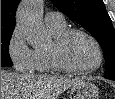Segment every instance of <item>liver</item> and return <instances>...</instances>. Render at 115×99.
<instances>
[{
	"instance_id": "obj_1",
	"label": "liver",
	"mask_w": 115,
	"mask_h": 99,
	"mask_svg": "<svg viewBox=\"0 0 115 99\" xmlns=\"http://www.w3.org/2000/svg\"><path fill=\"white\" fill-rule=\"evenodd\" d=\"M81 78L17 74L1 70V99H57Z\"/></svg>"
}]
</instances>
